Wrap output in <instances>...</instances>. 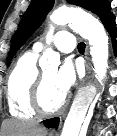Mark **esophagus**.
I'll return each mask as SVG.
<instances>
[{
	"instance_id": "obj_1",
	"label": "esophagus",
	"mask_w": 117,
	"mask_h": 136,
	"mask_svg": "<svg viewBox=\"0 0 117 136\" xmlns=\"http://www.w3.org/2000/svg\"><path fill=\"white\" fill-rule=\"evenodd\" d=\"M86 71L87 73H89L90 71V61H89V56H88V47L86 49ZM65 115L62 116V118H64ZM53 135H57V131H53L52 132Z\"/></svg>"
}]
</instances>
